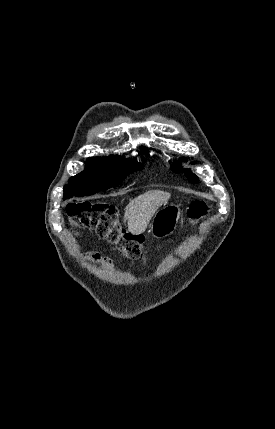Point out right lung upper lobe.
<instances>
[{
  "label": "right lung upper lobe",
  "mask_w": 275,
  "mask_h": 429,
  "mask_svg": "<svg viewBox=\"0 0 275 429\" xmlns=\"http://www.w3.org/2000/svg\"><path fill=\"white\" fill-rule=\"evenodd\" d=\"M143 151V149H142ZM145 154H148V150L145 149L144 150ZM118 158L114 157V158H108V157H91L88 158L86 163L87 165H97V166H109L111 165L112 162H115Z\"/></svg>",
  "instance_id": "obj_1"
}]
</instances>
